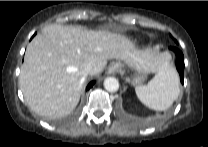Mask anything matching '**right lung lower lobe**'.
I'll list each match as a JSON object with an SVG mask.
<instances>
[{
  "mask_svg": "<svg viewBox=\"0 0 208 147\" xmlns=\"http://www.w3.org/2000/svg\"><path fill=\"white\" fill-rule=\"evenodd\" d=\"M93 84H94V81L90 82V83L88 84L86 90L90 89V88L93 86Z\"/></svg>",
  "mask_w": 208,
  "mask_h": 147,
  "instance_id": "98d812e1",
  "label": "right lung lower lobe"
}]
</instances>
